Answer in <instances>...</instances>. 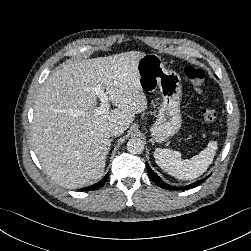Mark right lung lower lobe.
<instances>
[{
    "label": "right lung lower lobe",
    "instance_id": "right-lung-lower-lobe-1",
    "mask_svg": "<svg viewBox=\"0 0 251 251\" xmlns=\"http://www.w3.org/2000/svg\"><path fill=\"white\" fill-rule=\"evenodd\" d=\"M108 176H109V173L106 174L104 176V178L101 181H99L98 183H96V184H94L92 186H89V187H85L82 190L83 191H88V190H97V189H99L107 181Z\"/></svg>",
    "mask_w": 251,
    "mask_h": 251
}]
</instances>
